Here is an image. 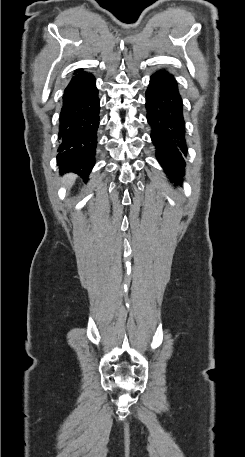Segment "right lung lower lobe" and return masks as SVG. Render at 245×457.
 Returning a JSON list of instances; mask_svg holds the SVG:
<instances>
[{"label":"right lung lower lobe","instance_id":"98d812e1","mask_svg":"<svg viewBox=\"0 0 245 457\" xmlns=\"http://www.w3.org/2000/svg\"><path fill=\"white\" fill-rule=\"evenodd\" d=\"M74 74L63 95L57 164L87 179L95 164L100 99L92 74Z\"/></svg>","mask_w":245,"mask_h":457}]
</instances>
